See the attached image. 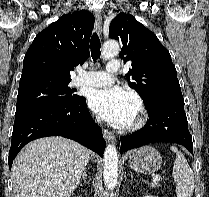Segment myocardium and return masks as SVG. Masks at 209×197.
Masks as SVG:
<instances>
[{"label": "myocardium", "mask_w": 209, "mask_h": 197, "mask_svg": "<svg viewBox=\"0 0 209 197\" xmlns=\"http://www.w3.org/2000/svg\"><path fill=\"white\" fill-rule=\"evenodd\" d=\"M145 120H146L145 108L141 103H139L138 104L137 117L134 120V123L131 125V128L132 129L139 128L140 126H142L144 124Z\"/></svg>", "instance_id": "myocardium-1"}]
</instances>
